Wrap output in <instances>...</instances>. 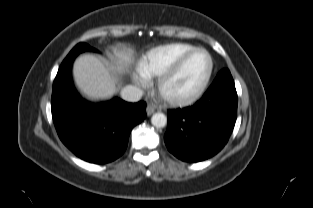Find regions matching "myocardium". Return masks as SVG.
Segmentation results:
<instances>
[{"instance_id":"f54148a6","label":"myocardium","mask_w":313,"mask_h":208,"mask_svg":"<svg viewBox=\"0 0 313 208\" xmlns=\"http://www.w3.org/2000/svg\"><path fill=\"white\" fill-rule=\"evenodd\" d=\"M197 53H204L208 59V68L202 81L197 86V88L192 92L185 94H178L172 92L169 88L170 84L180 74L186 63ZM212 73H213V60L211 55L205 49L195 48L194 50L183 55L174 64L173 67H171L168 71L160 75L156 84V89L159 96L167 103L178 106L188 105L190 103H193L202 96V94L204 93L209 84Z\"/></svg>"}]
</instances>
